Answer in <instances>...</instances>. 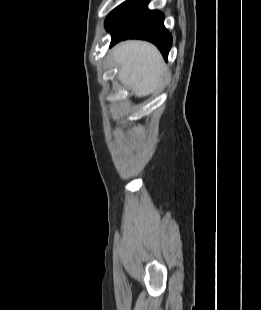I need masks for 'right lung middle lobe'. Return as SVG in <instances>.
<instances>
[{"instance_id": "obj_1", "label": "right lung middle lobe", "mask_w": 261, "mask_h": 310, "mask_svg": "<svg viewBox=\"0 0 261 310\" xmlns=\"http://www.w3.org/2000/svg\"><path fill=\"white\" fill-rule=\"evenodd\" d=\"M132 0H127L126 2L122 3L116 9H114L106 19V25L109 24Z\"/></svg>"}]
</instances>
